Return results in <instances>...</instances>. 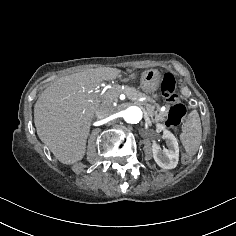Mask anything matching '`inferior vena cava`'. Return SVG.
Masks as SVG:
<instances>
[{"instance_id": "1", "label": "inferior vena cava", "mask_w": 236, "mask_h": 236, "mask_svg": "<svg viewBox=\"0 0 236 236\" xmlns=\"http://www.w3.org/2000/svg\"><path fill=\"white\" fill-rule=\"evenodd\" d=\"M92 115H93L95 118H98V117L101 115V112H100L98 109H95V110L92 112Z\"/></svg>"}]
</instances>
